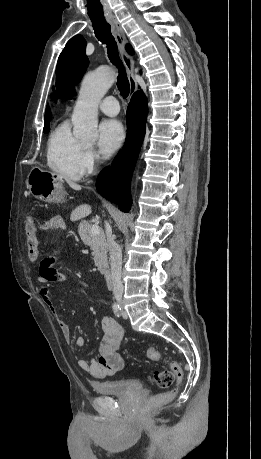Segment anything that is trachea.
<instances>
[{
    "mask_svg": "<svg viewBox=\"0 0 261 459\" xmlns=\"http://www.w3.org/2000/svg\"><path fill=\"white\" fill-rule=\"evenodd\" d=\"M95 36L107 46L110 61L118 68L117 87L120 94L126 98L129 95L130 85L124 65L119 57L117 43L111 34V27L105 20H92Z\"/></svg>",
    "mask_w": 261,
    "mask_h": 459,
    "instance_id": "obj_1",
    "label": "trachea"
}]
</instances>
